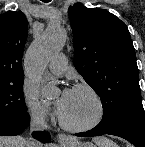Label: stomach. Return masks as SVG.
I'll list each match as a JSON object with an SVG mask.
<instances>
[{"label": "stomach", "mask_w": 145, "mask_h": 147, "mask_svg": "<svg viewBox=\"0 0 145 147\" xmlns=\"http://www.w3.org/2000/svg\"><path fill=\"white\" fill-rule=\"evenodd\" d=\"M63 147H96V146L90 142L82 143L78 140H73L70 143L64 144Z\"/></svg>", "instance_id": "stomach-1"}]
</instances>
